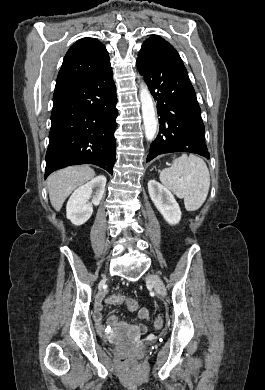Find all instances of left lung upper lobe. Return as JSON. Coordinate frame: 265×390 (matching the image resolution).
I'll list each match as a JSON object with an SVG mask.
<instances>
[{
  "instance_id": "1",
  "label": "left lung upper lobe",
  "mask_w": 265,
  "mask_h": 390,
  "mask_svg": "<svg viewBox=\"0 0 265 390\" xmlns=\"http://www.w3.org/2000/svg\"><path fill=\"white\" fill-rule=\"evenodd\" d=\"M138 56L167 65L184 66L176 49L158 35L151 36L143 43Z\"/></svg>"
}]
</instances>
